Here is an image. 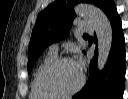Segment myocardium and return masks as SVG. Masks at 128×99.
Instances as JSON below:
<instances>
[{"instance_id":"obj_1","label":"myocardium","mask_w":128,"mask_h":99,"mask_svg":"<svg viewBox=\"0 0 128 99\" xmlns=\"http://www.w3.org/2000/svg\"><path fill=\"white\" fill-rule=\"evenodd\" d=\"M69 61L75 62V60L71 57H67V56L57 57L41 68V70L38 73V77H37V85L41 92H43L47 95H50L52 97L64 98V97H70L81 90V88L84 86L85 80H86L85 74L82 70H81V79H80L79 84L75 88H73L69 91L62 92V91L52 90L44 84V77L48 71L59 66L60 64H62L64 62H69Z\"/></svg>"}]
</instances>
